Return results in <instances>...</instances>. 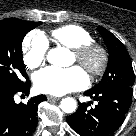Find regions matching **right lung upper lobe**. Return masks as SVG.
I'll return each instance as SVG.
<instances>
[{
  "mask_svg": "<svg viewBox=\"0 0 136 136\" xmlns=\"http://www.w3.org/2000/svg\"><path fill=\"white\" fill-rule=\"evenodd\" d=\"M14 20H16V19L15 18H7V19L0 21V24H7V23H10Z\"/></svg>",
  "mask_w": 136,
  "mask_h": 136,
  "instance_id": "right-lung-upper-lobe-1",
  "label": "right lung upper lobe"
}]
</instances>
